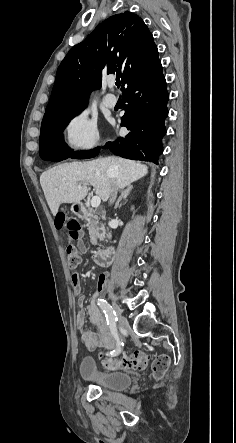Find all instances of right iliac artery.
Segmentation results:
<instances>
[{
    "mask_svg": "<svg viewBox=\"0 0 236 443\" xmlns=\"http://www.w3.org/2000/svg\"><path fill=\"white\" fill-rule=\"evenodd\" d=\"M97 305L102 309L106 316L107 324L109 325L111 332L115 339L117 340V347L116 350L111 352L109 355L116 356L121 353L123 343L119 339L118 330L116 327V322L118 320L115 311L113 310L112 306L104 299H98Z\"/></svg>",
    "mask_w": 236,
    "mask_h": 443,
    "instance_id": "82829eb1",
    "label": "right iliac artery"
}]
</instances>
